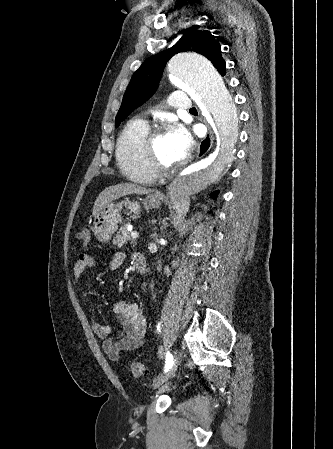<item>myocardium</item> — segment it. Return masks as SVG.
Returning <instances> with one entry per match:
<instances>
[{
  "label": "myocardium",
  "instance_id": "myocardium-1",
  "mask_svg": "<svg viewBox=\"0 0 333 449\" xmlns=\"http://www.w3.org/2000/svg\"><path fill=\"white\" fill-rule=\"evenodd\" d=\"M164 132V126L156 125L148 130L143 141V153L146 164L155 177L167 176L177 168V165L167 166L163 164L156 154L155 139Z\"/></svg>",
  "mask_w": 333,
  "mask_h": 449
}]
</instances>
